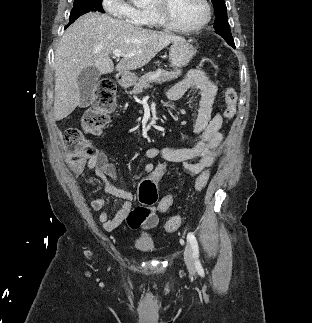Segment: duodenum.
I'll return each instance as SVG.
<instances>
[{
	"instance_id": "1",
	"label": "duodenum",
	"mask_w": 312,
	"mask_h": 323,
	"mask_svg": "<svg viewBox=\"0 0 312 323\" xmlns=\"http://www.w3.org/2000/svg\"><path fill=\"white\" fill-rule=\"evenodd\" d=\"M134 77L128 73H120L117 77V81L120 86L128 87L132 84Z\"/></svg>"
}]
</instances>
